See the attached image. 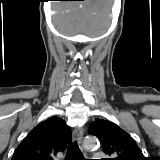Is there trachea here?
Instances as JSON below:
<instances>
[{
  "label": "trachea",
  "instance_id": "trachea-1",
  "mask_svg": "<svg viewBox=\"0 0 160 160\" xmlns=\"http://www.w3.org/2000/svg\"><path fill=\"white\" fill-rule=\"evenodd\" d=\"M65 160H83L82 153L77 142L68 145Z\"/></svg>",
  "mask_w": 160,
  "mask_h": 160
}]
</instances>
